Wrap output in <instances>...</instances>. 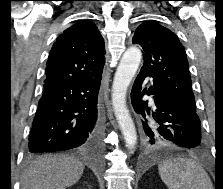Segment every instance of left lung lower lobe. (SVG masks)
Masks as SVG:
<instances>
[{"mask_svg":"<svg viewBox=\"0 0 223 189\" xmlns=\"http://www.w3.org/2000/svg\"><path fill=\"white\" fill-rule=\"evenodd\" d=\"M148 76L153 78L151 85L143 89V82ZM144 94L153 95V107L142 100ZM131 101L135 112L142 116V132L149 143L161 139L182 150L196 151L202 147L201 124L196 111L175 102L163 84L144 68L134 82ZM147 115L151 116V120L146 118Z\"/></svg>","mask_w":223,"mask_h":189,"instance_id":"obj_1","label":"left lung lower lobe"}]
</instances>
